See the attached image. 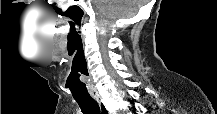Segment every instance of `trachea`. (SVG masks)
Returning <instances> with one entry per match:
<instances>
[{"label":"trachea","instance_id":"1","mask_svg":"<svg viewBox=\"0 0 217 114\" xmlns=\"http://www.w3.org/2000/svg\"><path fill=\"white\" fill-rule=\"evenodd\" d=\"M81 108L83 114H100V108L96 100L93 98L75 99Z\"/></svg>","mask_w":217,"mask_h":114}]
</instances>
